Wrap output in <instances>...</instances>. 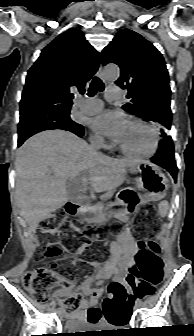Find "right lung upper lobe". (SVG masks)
I'll return each mask as SVG.
<instances>
[{
	"label": "right lung upper lobe",
	"mask_w": 194,
	"mask_h": 336,
	"mask_svg": "<svg viewBox=\"0 0 194 336\" xmlns=\"http://www.w3.org/2000/svg\"><path fill=\"white\" fill-rule=\"evenodd\" d=\"M100 54L84 34L71 28L41 52L29 69L20 101V120L42 111H70L73 92L84 93L86 82L96 73Z\"/></svg>",
	"instance_id": "1"
}]
</instances>
